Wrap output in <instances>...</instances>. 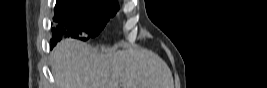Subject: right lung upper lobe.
Returning <instances> with one entry per match:
<instances>
[{"label":"right lung upper lobe","mask_w":267,"mask_h":88,"mask_svg":"<svg viewBox=\"0 0 267 88\" xmlns=\"http://www.w3.org/2000/svg\"><path fill=\"white\" fill-rule=\"evenodd\" d=\"M110 1L117 2V0H110Z\"/></svg>","instance_id":"cb5924a9"}]
</instances>
